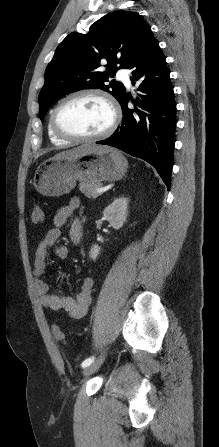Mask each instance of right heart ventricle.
<instances>
[{
  "label": "right heart ventricle",
  "mask_w": 219,
  "mask_h": 447,
  "mask_svg": "<svg viewBox=\"0 0 219 447\" xmlns=\"http://www.w3.org/2000/svg\"><path fill=\"white\" fill-rule=\"evenodd\" d=\"M47 133H48V137H49L50 141H51L52 143H54V144L62 145V144H64V143L68 142V141H66V140H64V139H62V138H60V137H58V136L53 132L52 127H51V123H50V118L48 119V123H47Z\"/></svg>",
  "instance_id": "1"
}]
</instances>
